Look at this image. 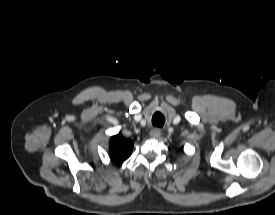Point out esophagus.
Returning <instances> with one entry per match:
<instances>
[{
	"label": "esophagus",
	"mask_w": 275,
	"mask_h": 215,
	"mask_svg": "<svg viewBox=\"0 0 275 215\" xmlns=\"http://www.w3.org/2000/svg\"><path fill=\"white\" fill-rule=\"evenodd\" d=\"M160 135H161V130L158 129V128H153V129L150 131V136H151L152 138L157 139V138L160 137Z\"/></svg>",
	"instance_id": "1"
}]
</instances>
